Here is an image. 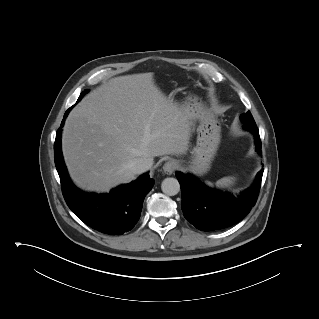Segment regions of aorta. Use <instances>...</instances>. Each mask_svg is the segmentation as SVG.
<instances>
[{"mask_svg":"<svg viewBox=\"0 0 319 319\" xmlns=\"http://www.w3.org/2000/svg\"><path fill=\"white\" fill-rule=\"evenodd\" d=\"M161 189L164 194L174 196L180 191V184L175 178H166L161 184Z\"/></svg>","mask_w":319,"mask_h":319,"instance_id":"aorta-1","label":"aorta"}]
</instances>
